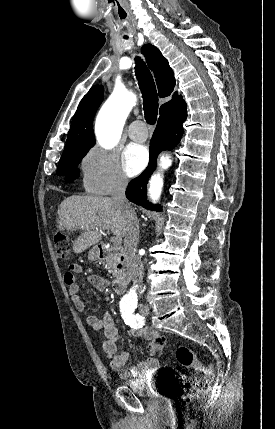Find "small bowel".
Wrapping results in <instances>:
<instances>
[{
    "label": "small bowel",
    "mask_w": 275,
    "mask_h": 429,
    "mask_svg": "<svg viewBox=\"0 0 275 429\" xmlns=\"http://www.w3.org/2000/svg\"><path fill=\"white\" fill-rule=\"evenodd\" d=\"M82 272V267L79 264H72L69 270L64 275V281L68 285V291L71 297V301L79 312L85 311V304L79 295L80 287L76 283L75 275ZM89 285L93 286L97 290H105L109 282L98 276L91 275L88 277ZM87 324L94 331H102L104 334L103 350L106 358L109 360V364L112 370L118 372L124 379H131L140 377L150 371L157 370L159 362L155 358H148L144 362L137 363L129 368L126 367L129 354L126 351H120L119 348L122 346L118 330L114 325L113 318L109 312L104 313L102 317L95 315H89L86 318ZM131 333L135 337H143L146 339L148 344V350L155 351L156 342L162 339V336L154 329L151 328H137L132 329Z\"/></svg>",
    "instance_id": "1"
}]
</instances>
